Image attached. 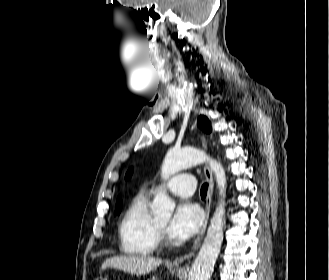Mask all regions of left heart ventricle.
<instances>
[{
    "mask_svg": "<svg viewBox=\"0 0 329 280\" xmlns=\"http://www.w3.org/2000/svg\"><path fill=\"white\" fill-rule=\"evenodd\" d=\"M158 221H159L160 224L165 226L168 223V218L159 219Z\"/></svg>",
    "mask_w": 329,
    "mask_h": 280,
    "instance_id": "left-heart-ventricle-1",
    "label": "left heart ventricle"
}]
</instances>
